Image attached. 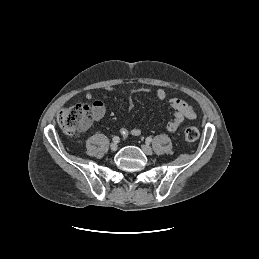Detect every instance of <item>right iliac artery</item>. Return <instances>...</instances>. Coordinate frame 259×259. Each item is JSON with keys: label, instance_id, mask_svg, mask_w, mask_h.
<instances>
[{"label": "right iliac artery", "instance_id": "right-iliac-artery-1", "mask_svg": "<svg viewBox=\"0 0 259 259\" xmlns=\"http://www.w3.org/2000/svg\"><path fill=\"white\" fill-rule=\"evenodd\" d=\"M120 141V138L118 136L113 137V142L118 143Z\"/></svg>", "mask_w": 259, "mask_h": 259}]
</instances>
